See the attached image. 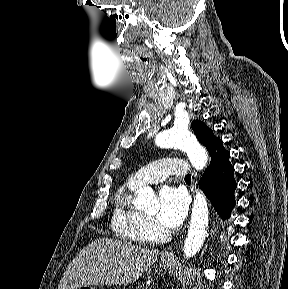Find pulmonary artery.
<instances>
[{"label":"pulmonary artery","instance_id":"pulmonary-artery-1","mask_svg":"<svg viewBox=\"0 0 288 289\" xmlns=\"http://www.w3.org/2000/svg\"><path fill=\"white\" fill-rule=\"evenodd\" d=\"M189 166L181 159L166 157L151 162L140 168L129 179V183L141 186L148 183L163 182L169 175L185 176Z\"/></svg>","mask_w":288,"mask_h":289}]
</instances>
